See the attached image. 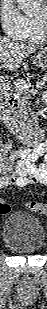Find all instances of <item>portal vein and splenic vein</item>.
Returning a JSON list of instances; mask_svg holds the SVG:
<instances>
[{
  "label": "portal vein and splenic vein",
  "mask_w": 47,
  "mask_h": 309,
  "mask_svg": "<svg viewBox=\"0 0 47 309\" xmlns=\"http://www.w3.org/2000/svg\"><path fill=\"white\" fill-rule=\"evenodd\" d=\"M14 85L19 89H29L30 85L24 80H15ZM44 82H37L36 87H42Z\"/></svg>",
  "instance_id": "18ae733b"
}]
</instances>
